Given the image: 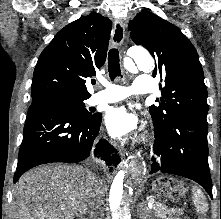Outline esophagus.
Segmentation results:
<instances>
[{
	"instance_id": "1",
	"label": "esophagus",
	"mask_w": 221,
	"mask_h": 219,
	"mask_svg": "<svg viewBox=\"0 0 221 219\" xmlns=\"http://www.w3.org/2000/svg\"><path fill=\"white\" fill-rule=\"evenodd\" d=\"M125 39V24L122 20H115L111 36V45L113 47L122 46Z\"/></svg>"
}]
</instances>
